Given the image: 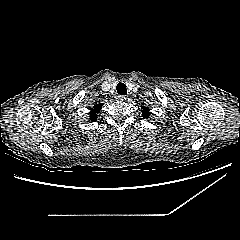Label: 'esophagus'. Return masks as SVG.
<instances>
[{"instance_id": "esophagus-1", "label": "esophagus", "mask_w": 240, "mask_h": 240, "mask_svg": "<svg viewBox=\"0 0 240 240\" xmlns=\"http://www.w3.org/2000/svg\"><path fill=\"white\" fill-rule=\"evenodd\" d=\"M117 98L119 101H125L127 99L125 95H119Z\"/></svg>"}]
</instances>
